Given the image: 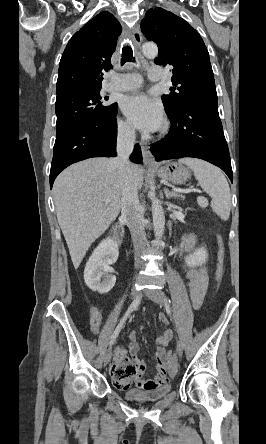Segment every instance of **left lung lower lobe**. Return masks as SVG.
Returning a JSON list of instances; mask_svg holds the SVG:
<instances>
[{
	"instance_id": "left-lung-lower-lobe-1",
	"label": "left lung lower lobe",
	"mask_w": 266,
	"mask_h": 444,
	"mask_svg": "<svg viewBox=\"0 0 266 444\" xmlns=\"http://www.w3.org/2000/svg\"><path fill=\"white\" fill-rule=\"evenodd\" d=\"M166 138L151 147L157 160L195 157L220 167L233 182L230 154L218 113V100L186 104L173 115Z\"/></svg>"
}]
</instances>
